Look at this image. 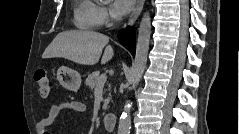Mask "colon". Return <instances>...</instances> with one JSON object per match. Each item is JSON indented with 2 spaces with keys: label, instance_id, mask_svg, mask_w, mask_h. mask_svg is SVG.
I'll use <instances>...</instances> for the list:
<instances>
[{
  "label": "colon",
  "instance_id": "obj_1",
  "mask_svg": "<svg viewBox=\"0 0 239 134\" xmlns=\"http://www.w3.org/2000/svg\"><path fill=\"white\" fill-rule=\"evenodd\" d=\"M36 87L39 94L43 97H47L51 91L52 83L45 70H39L35 74Z\"/></svg>",
  "mask_w": 239,
  "mask_h": 134
}]
</instances>
